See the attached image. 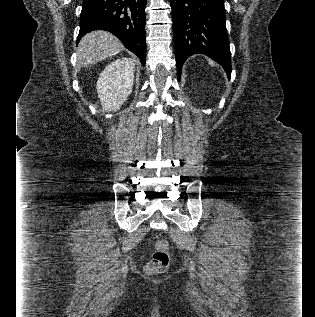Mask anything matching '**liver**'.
<instances>
[{"label":"liver","mask_w":315,"mask_h":317,"mask_svg":"<svg viewBox=\"0 0 315 317\" xmlns=\"http://www.w3.org/2000/svg\"><path fill=\"white\" fill-rule=\"evenodd\" d=\"M123 49L121 42L111 33L94 31L81 39L77 47L78 61L80 66L88 67L116 55Z\"/></svg>","instance_id":"6515ba94"}]
</instances>
